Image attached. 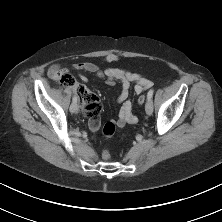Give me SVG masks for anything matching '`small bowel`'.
I'll use <instances>...</instances> for the list:
<instances>
[{
	"mask_svg": "<svg viewBox=\"0 0 222 222\" xmlns=\"http://www.w3.org/2000/svg\"><path fill=\"white\" fill-rule=\"evenodd\" d=\"M119 57L115 54H108L103 57L102 61L111 63L118 61ZM72 68L80 72L79 77L83 82L88 81L87 74H93L98 78L104 79L108 85H114L119 82L122 86V90L117 98L118 103L121 104V108L118 114V118L115 121L117 127H124L126 125L135 124L137 117L132 111V102L129 99V91L131 84L134 83V90L136 94H141L145 90L152 86V82L139 73H133L124 69L107 68L101 69L100 66L93 62L76 63L72 65ZM67 70L61 68L59 65H52L48 70V74L53 79L65 73ZM100 113L101 109L97 112L87 113L85 115L89 119V128L91 131L98 130L100 126Z\"/></svg>",
	"mask_w": 222,
	"mask_h": 222,
	"instance_id": "1",
	"label": "small bowel"
}]
</instances>
